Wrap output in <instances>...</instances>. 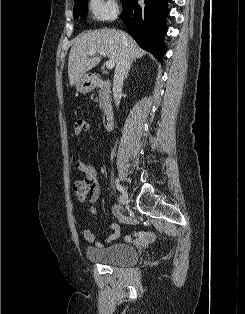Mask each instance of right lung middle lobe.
<instances>
[{
	"mask_svg": "<svg viewBox=\"0 0 245 314\" xmlns=\"http://www.w3.org/2000/svg\"><path fill=\"white\" fill-rule=\"evenodd\" d=\"M122 1L124 5L128 0H122ZM75 2L77 3L74 5V8H73L74 17L75 18H78L79 16L81 18L86 17L88 13L87 0H77Z\"/></svg>",
	"mask_w": 245,
	"mask_h": 314,
	"instance_id": "1",
	"label": "right lung middle lobe"
}]
</instances>
